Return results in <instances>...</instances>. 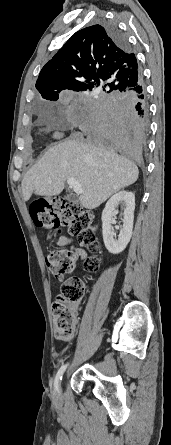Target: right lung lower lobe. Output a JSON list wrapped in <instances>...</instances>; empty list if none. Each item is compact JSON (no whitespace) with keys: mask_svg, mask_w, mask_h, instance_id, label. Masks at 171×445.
<instances>
[{"mask_svg":"<svg viewBox=\"0 0 171 445\" xmlns=\"http://www.w3.org/2000/svg\"><path fill=\"white\" fill-rule=\"evenodd\" d=\"M113 40L127 45L114 24H105ZM86 135L124 157L140 161L145 143L148 108L143 82L131 91L105 94L85 111Z\"/></svg>","mask_w":171,"mask_h":445,"instance_id":"98d812e1","label":"right lung lower lobe"}]
</instances>
